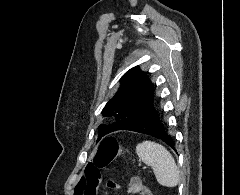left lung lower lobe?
I'll return each instance as SVG.
<instances>
[{
  "mask_svg": "<svg viewBox=\"0 0 240 195\" xmlns=\"http://www.w3.org/2000/svg\"><path fill=\"white\" fill-rule=\"evenodd\" d=\"M121 130L136 131L139 133L148 134L161 139L171 148H174L172 138L167 134L163 124L160 121L159 114L154 108L153 100Z\"/></svg>",
  "mask_w": 240,
  "mask_h": 195,
  "instance_id": "1",
  "label": "left lung lower lobe"
}]
</instances>
